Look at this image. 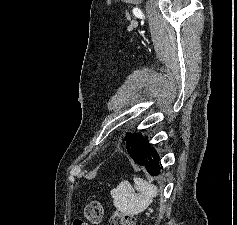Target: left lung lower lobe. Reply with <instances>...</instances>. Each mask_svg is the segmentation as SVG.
I'll return each instance as SVG.
<instances>
[{
	"instance_id": "obj_1",
	"label": "left lung lower lobe",
	"mask_w": 237,
	"mask_h": 225,
	"mask_svg": "<svg viewBox=\"0 0 237 225\" xmlns=\"http://www.w3.org/2000/svg\"><path fill=\"white\" fill-rule=\"evenodd\" d=\"M126 149L131 158L139 165L145 166L147 172L157 176L163 169L159 156L148 143V139L140 134H126Z\"/></svg>"
}]
</instances>
